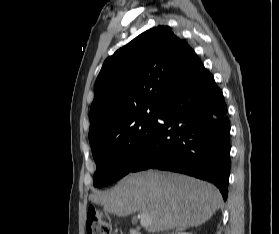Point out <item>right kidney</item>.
Returning <instances> with one entry per match:
<instances>
[{
	"mask_svg": "<svg viewBox=\"0 0 279 234\" xmlns=\"http://www.w3.org/2000/svg\"><path fill=\"white\" fill-rule=\"evenodd\" d=\"M175 234H192V233H188V232H178V233H175Z\"/></svg>",
	"mask_w": 279,
	"mask_h": 234,
	"instance_id": "1",
	"label": "right kidney"
}]
</instances>
